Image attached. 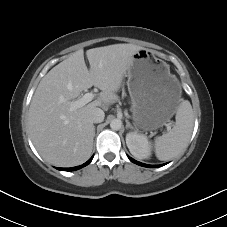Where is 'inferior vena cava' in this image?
Listing matches in <instances>:
<instances>
[{
    "label": "inferior vena cava",
    "mask_w": 227,
    "mask_h": 227,
    "mask_svg": "<svg viewBox=\"0 0 227 227\" xmlns=\"http://www.w3.org/2000/svg\"><path fill=\"white\" fill-rule=\"evenodd\" d=\"M104 111L100 108H94L91 113V121L93 123H100L104 120Z\"/></svg>",
    "instance_id": "inferior-vena-cava-1"
}]
</instances>
